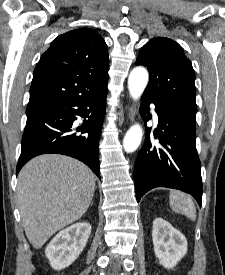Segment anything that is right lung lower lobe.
Returning <instances> with one entry per match:
<instances>
[{
  "instance_id": "right-lung-lower-lobe-1",
  "label": "right lung lower lobe",
  "mask_w": 225,
  "mask_h": 275,
  "mask_svg": "<svg viewBox=\"0 0 225 275\" xmlns=\"http://www.w3.org/2000/svg\"><path fill=\"white\" fill-rule=\"evenodd\" d=\"M107 84L91 96L66 99L27 110L16 173L40 154H63L87 164L100 178L98 144L105 115ZM84 118L80 127L73 123Z\"/></svg>"
}]
</instances>
